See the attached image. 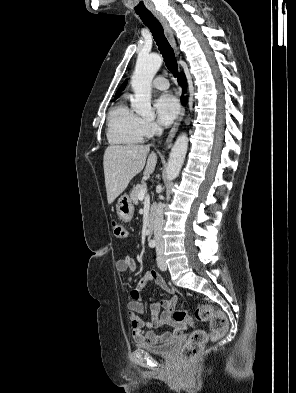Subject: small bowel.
<instances>
[{
	"mask_svg": "<svg viewBox=\"0 0 296 393\" xmlns=\"http://www.w3.org/2000/svg\"><path fill=\"white\" fill-rule=\"evenodd\" d=\"M115 266L119 273L127 275L134 271L135 262L132 255L130 253H126L116 262ZM152 281L163 289H169L167 281L160 273L156 270H149L130 291L127 308L133 339L136 342H148L156 345L178 337L186 328V324L176 323L171 319V313L178 301L176 296L161 301L151 302V319L147 322L142 319L144 305L142 303L141 290L145 285ZM161 308L164 309L163 313H160ZM163 325L172 326L173 330L161 334L154 331V329Z\"/></svg>",
	"mask_w": 296,
	"mask_h": 393,
	"instance_id": "small-bowel-1",
	"label": "small bowel"
}]
</instances>
